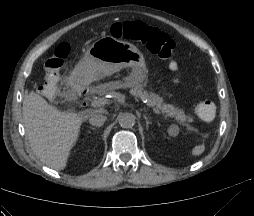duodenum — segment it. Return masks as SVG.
<instances>
[{
    "instance_id": "410a0bca",
    "label": "duodenum",
    "mask_w": 254,
    "mask_h": 216,
    "mask_svg": "<svg viewBox=\"0 0 254 216\" xmlns=\"http://www.w3.org/2000/svg\"><path fill=\"white\" fill-rule=\"evenodd\" d=\"M84 95V93H81V96H83Z\"/></svg>"
}]
</instances>
